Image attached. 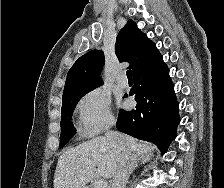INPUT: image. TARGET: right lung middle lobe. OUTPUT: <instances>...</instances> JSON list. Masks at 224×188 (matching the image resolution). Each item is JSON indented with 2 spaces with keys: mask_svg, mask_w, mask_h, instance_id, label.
Here are the masks:
<instances>
[{
  "mask_svg": "<svg viewBox=\"0 0 224 188\" xmlns=\"http://www.w3.org/2000/svg\"><path fill=\"white\" fill-rule=\"evenodd\" d=\"M82 91L77 93H71L63 96L62 109H61V135H60V147H63L75 134V128L72 124V113L75 109L77 102L88 92Z\"/></svg>",
  "mask_w": 224,
  "mask_h": 188,
  "instance_id": "obj_1",
  "label": "right lung middle lobe"
}]
</instances>
